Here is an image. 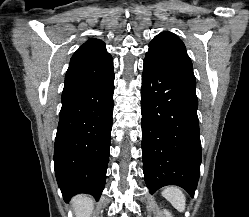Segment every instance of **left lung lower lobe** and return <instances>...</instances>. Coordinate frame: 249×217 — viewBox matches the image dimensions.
<instances>
[{"label":"left lung lower lobe","instance_id":"obj_1","mask_svg":"<svg viewBox=\"0 0 249 217\" xmlns=\"http://www.w3.org/2000/svg\"><path fill=\"white\" fill-rule=\"evenodd\" d=\"M196 80L144 63L141 87L143 172L150 193L197 187L201 143Z\"/></svg>","mask_w":249,"mask_h":217}]
</instances>
